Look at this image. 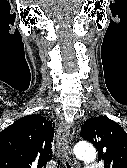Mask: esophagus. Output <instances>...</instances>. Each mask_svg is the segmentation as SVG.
<instances>
[{
	"label": "esophagus",
	"mask_w": 127,
	"mask_h": 168,
	"mask_svg": "<svg viewBox=\"0 0 127 168\" xmlns=\"http://www.w3.org/2000/svg\"><path fill=\"white\" fill-rule=\"evenodd\" d=\"M71 124L62 121L57 129L56 144L58 152L64 158H68L72 168H79L77 160L69 146Z\"/></svg>",
	"instance_id": "34e87169"
}]
</instances>
